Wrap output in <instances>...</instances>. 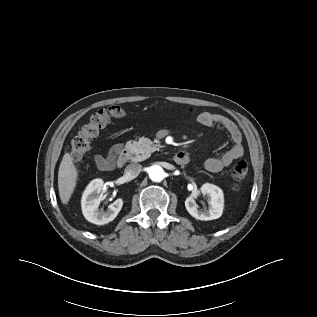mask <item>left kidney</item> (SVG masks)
<instances>
[{
    "label": "left kidney",
    "mask_w": 317,
    "mask_h": 317,
    "mask_svg": "<svg viewBox=\"0 0 317 317\" xmlns=\"http://www.w3.org/2000/svg\"><path fill=\"white\" fill-rule=\"evenodd\" d=\"M200 191L210 197V207L208 209H198L195 198L199 195V191L195 190L185 200V207L188 213L198 220H213L221 217L224 208L223 191L216 185L205 183Z\"/></svg>",
    "instance_id": "1"
}]
</instances>
